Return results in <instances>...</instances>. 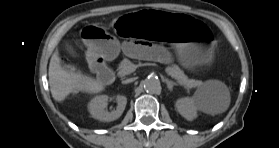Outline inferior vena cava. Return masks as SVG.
<instances>
[{"label": "inferior vena cava", "instance_id": "602c4592", "mask_svg": "<svg viewBox=\"0 0 279 148\" xmlns=\"http://www.w3.org/2000/svg\"><path fill=\"white\" fill-rule=\"evenodd\" d=\"M134 81V79L133 78H130V79H127V80H125V81H123L125 84H127V83H130V82H133Z\"/></svg>", "mask_w": 279, "mask_h": 148}]
</instances>
